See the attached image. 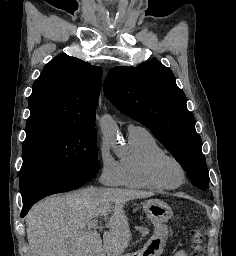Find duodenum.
<instances>
[{
  "mask_svg": "<svg viewBox=\"0 0 236 256\" xmlns=\"http://www.w3.org/2000/svg\"><path fill=\"white\" fill-rule=\"evenodd\" d=\"M109 255H110V254H109L108 250H104V251L101 253L100 256H109Z\"/></svg>",
  "mask_w": 236,
  "mask_h": 256,
  "instance_id": "1",
  "label": "duodenum"
}]
</instances>
